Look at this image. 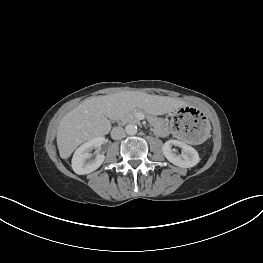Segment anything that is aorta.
I'll return each instance as SVG.
<instances>
[{
    "label": "aorta",
    "instance_id": "aorta-1",
    "mask_svg": "<svg viewBox=\"0 0 263 263\" xmlns=\"http://www.w3.org/2000/svg\"><path fill=\"white\" fill-rule=\"evenodd\" d=\"M125 132L128 135H135L137 133V126L133 123H129L125 127Z\"/></svg>",
    "mask_w": 263,
    "mask_h": 263
}]
</instances>
